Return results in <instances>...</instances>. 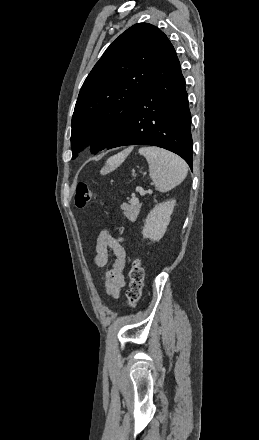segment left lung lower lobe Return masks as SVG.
<instances>
[{
  "instance_id": "obj_1",
  "label": "left lung lower lobe",
  "mask_w": 259,
  "mask_h": 440,
  "mask_svg": "<svg viewBox=\"0 0 259 440\" xmlns=\"http://www.w3.org/2000/svg\"><path fill=\"white\" fill-rule=\"evenodd\" d=\"M136 144L172 151L192 169L191 114L185 79L169 40L146 88L118 137L107 149Z\"/></svg>"
}]
</instances>
